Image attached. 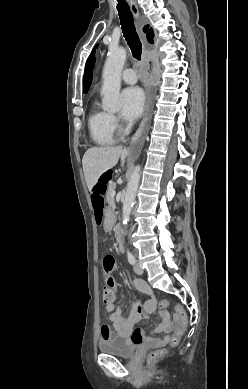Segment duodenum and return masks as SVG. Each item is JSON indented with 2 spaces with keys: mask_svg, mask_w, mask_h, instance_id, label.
Segmentation results:
<instances>
[{
  "mask_svg": "<svg viewBox=\"0 0 248 389\" xmlns=\"http://www.w3.org/2000/svg\"><path fill=\"white\" fill-rule=\"evenodd\" d=\"M117 244H118V249L122 252L124 250V244H123V238L121 233H118V238H117Z\"/></svg>",
  "mask_w": 248,
  "mask_h": 389,
  "instance_id": "duodenum-1",
  "label": "duodenum"
}]
</instances>
